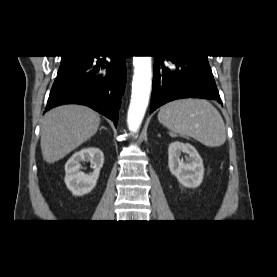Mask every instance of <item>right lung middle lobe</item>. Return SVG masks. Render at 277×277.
Listing matches in <instances>:
<instances>
[{"label":"right lung middle lobe","instance_id":"1","mask_svg":"<svg viewBox=\"0 0 277 277\" xmlns=\"http://www.w3.org/2000/svg\"><path fill=\"white\" fill-rule=\"evenodd\" d=\"M85 56L82 55H74V56H62L61 65L58 70V75L62 74L78 62H80Z\"/></svg>","mask_w":277,"mask_h":277}]
</instances>
